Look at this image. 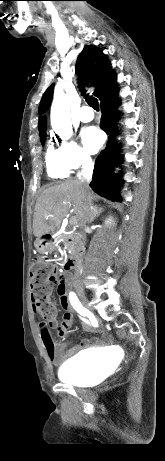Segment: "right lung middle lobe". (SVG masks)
Masks as SVG:
<instances>
[{"instance_id": "dd1d6c3e", "label": "right lung middle lobe", "mask_w": 165, "mask_h": 461, "mask_svg": "<svg viewBox=\"0 0 165 461\" xmlns=\"http://www.w3.org/2000/svg\"><path fill=\"white\" fill-rule=\"evenodd\" d=\"M45 138H46V134L40 136V140H41L42 145H44Z\"/></svg>"}]
</instances>
